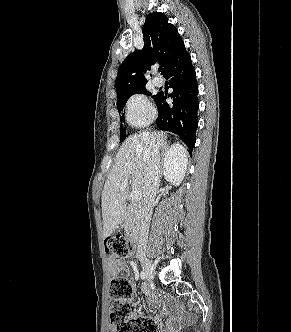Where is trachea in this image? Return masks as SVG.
Listing matches in <instances>:
<instances>
[{
	"mask_svg": "<svg viewBox=\"0 0 291 332\" xmlns=\"http://www.w3.org/2000/svg\"><path fill=\"white\" fill-rule=\"evenodd\" d=\"M159 72H161V67L159 68Z\"/></svg>",
	"mask_w": 291,
	"mask_h": 332,
	"instance_id": "trachea-1",
	"label": "trachea"
}]
</instances>
